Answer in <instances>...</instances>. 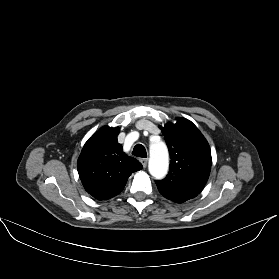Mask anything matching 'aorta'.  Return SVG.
<instances>
[{
    "mask_svg": "<svg viewBox=\"0 0 279 279\" xmlns=\"http://www.w3.org/2000/svg\"><path fill=\"white\" fill-rule=\"evenodd\" d=\"M149 172L156 179L164 178L169 168V154L167 146L162 141L150 145Z\"/></svg>",
    "mask_w": 279,
    "mask_h": 279,
    "instance_id": "obj_1",
    "label": "aorta"
}]
</instances>
